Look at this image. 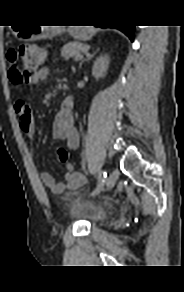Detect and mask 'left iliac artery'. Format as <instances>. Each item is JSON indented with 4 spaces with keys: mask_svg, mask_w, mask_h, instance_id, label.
Returning a JSON list of instances; mask_svg holds the SVG:
<instances>
[{
    "mask_svg": "<svg viewBox=\"0 0 184 292\" xmlns=\"http://www.w3.org/2000/svg\"><path fill=\"white\" fill-rule=\"evenodd\" d=\"M106 176H107V173L105 171L100 170L98 172V184H97L96 189L92 192V195L98 193L103 188Z\"/></svg>",
    "mask_w": 184,
    "mask_h": 292,
    "instance_id": "44dca946",
    "label": "left iliac artery"
}]
</instances>
